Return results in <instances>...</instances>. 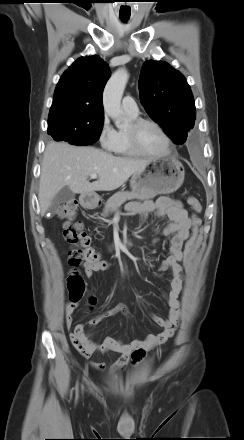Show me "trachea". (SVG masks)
Instances as JSON below:
<instances>
[{
  "instance_id": "obj_1",
  "label": "trachea",
  "mask_w": 244,
  "mask_h": 440,
  "mask_svg": "<svg viewBox=\"0 0 244 440\" xmlns=\"http://www.w3.org/2000/svg\"><path fill=\"white\" fill-rule=\"evenodd\" d=\"M129 18H121L122 21H127Z\"/></svg>"
}]
</instances>
